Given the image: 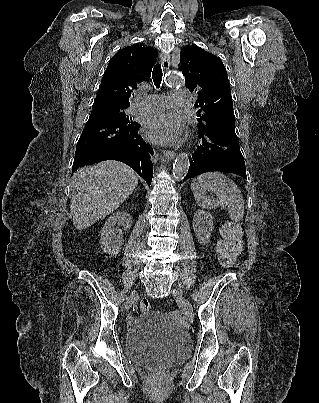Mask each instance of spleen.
<instances>
[{
	"label": "spleen",
	"instance_id": "obj_1",
	"mask_svg": "<svg viewBox=\"0 0 319 403\" xmlns=\"http://www.w3.org/2000/svg\"><path fill=\"white\" fill-rule=\"evenodd\" d=\"M191 189L196 203L204 209H215L219 205L228 210L230 219L239 222L245 211L240 189L229 177L220 172H208L193 179ZM207 192L215 193L217 199ZM210 193V194H211Z\"/></svg>",
	"mask_w": 319,
	"mask_h": 403
}]
</instances>
